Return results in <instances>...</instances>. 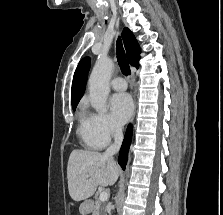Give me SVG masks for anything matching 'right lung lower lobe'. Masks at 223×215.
<instances>
[{
	"instance_id": "1",
	"label": "right lung lower lobe",
	"mask_w": 223,
	"mask_h": 215,
	"mask_svg": "<svg viewBox=\"0 0 223 215\" xmlns=\"http://www.w3.org/2000/svg\"><path fill=\"white\" fill-rule=\"evenodd\" d=\"M131 137H132V127L131 125H129L118 157V162L123 169H125L126 166L127 154L131 142Z\"/></svg>"
}]
</instances>
